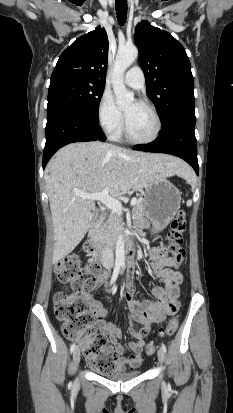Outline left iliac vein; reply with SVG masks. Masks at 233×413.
Returning <instances> with one entry per match:
<instances>
[{
	"mask_svg": "<svg viewBox=\"0 0 233 413\" xmlns=\"http://www.w3.org/2000/svg\"><path fill=\"white\" fill-rule=\"evenodd\" d=\"M157 356H158V360H159L160 364H162L165 360L164 351L162 349H159L158 352H157Z\"/></svg>",
	"mask_w": 233,
	"mask_h": 413,
	"instance_id": "left-iliac-vein-1",
	"label": "left iliac vein"
}]
</instances>
